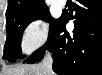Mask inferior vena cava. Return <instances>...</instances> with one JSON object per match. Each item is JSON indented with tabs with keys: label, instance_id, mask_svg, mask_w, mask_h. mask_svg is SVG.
<instances>
[{
	"label": "inferior vena cava",
	"instance_id": "1",
	"mask_svg": "<svg viewBox=\"0 0 102 75\" xmlns=\"http://www.w3.org/2000/svg\"><path fill=\"white\" fill-rule=\"evenodd\" d=\"M52 63H53V59L51 54L49 52H46L43 58L42 64L46 67L49 74H52Z\"/></svg>",
	"mask_w": 102,
	"mask_h": 75
}]
</instances>
